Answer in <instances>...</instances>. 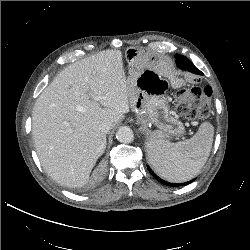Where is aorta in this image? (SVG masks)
Instances as JSON below:
<instances>
[{"instance_id": "obj_1", "label": "aorta", "mask_w": 250, "mask_h": 250, "mask_svg": "<svg viewBox=\"0 0 250 250\" xmlns=\"http://www.w3.org/2000/svg\"><path fill=\"white\" fill-rule=\"evenodd\" d=\"M116 138L121 143H131L134 140L133 130L128 126H121L116 132Z\"/></svg>"}]
</instances>
